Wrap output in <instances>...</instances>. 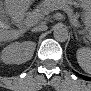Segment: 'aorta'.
I'll return each instance as SVG.
<instances>
[{"label": "aorta", "mask_w": 91, "mask_h": 91, "mask_svg": "<svg viewBox=\"0 0 91 91\" xmlns=\"http://www.w3.org/2000/svg\"><path fill=\"white\" fill-rule=\"evenodd\" d=\"M53 35L59 42H65L69 36L67 29L62 24H57L54 26Z\"/></svg>", "instance_id": "1"}]
</instances>
